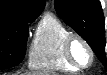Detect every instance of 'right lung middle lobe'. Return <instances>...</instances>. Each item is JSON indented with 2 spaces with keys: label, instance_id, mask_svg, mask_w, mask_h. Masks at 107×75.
<instances>
[{
  "label": "right lung middle lobe",
  "instance_id": "right-lung-middle-lobe-1",
  "mask_svg": "<svg viewBox=\"0 0 107 75\" xmlns=\"http://www.w3.org/2000/svg\"><path fill=\"white\" fill-rule=\"evenodd\" d=\"M28 23H13L0 31V69L18 65L24 58Z\"/></svg>",
  "mask_w": 107,
  "mask_h": 75
}]
</instances>
